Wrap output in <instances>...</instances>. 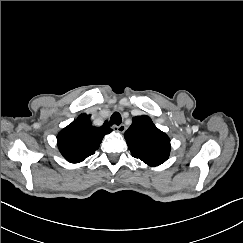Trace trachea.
Listing matches in <instances>:
<instances>
[{"instance_id": "3493384b", "label": "trachea", "mask_w": 243, "mask_h": 243, "mask_svg": "<svg viewBox=\"0 0 243 243\" xmlns=\"http://www.w3.org/2000/svg\"><path fill=\"white\" fill-rule=\"evenodd\" d=\"M122 121L121 115L118 112H114L110 118V125H120Z\"/></svg>"}]
</instances>
